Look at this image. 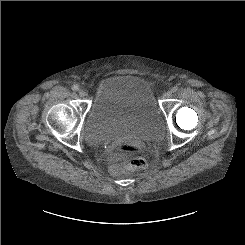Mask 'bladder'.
<instances>
[{
    "mask_svg": "<svg viewBox=\"0 0 245 245\" xmlns=\"http://www.w3.org/2000/svg\"><path fill=\"white\" fill-rule=\"evenodd\" d=\"M162 128V112L149 82L136 74H113L96 86L83 136L91 144L154 140Z\"/></svg>",
    "mask_w": 245,
    "mask_h": 245,
    "instance_id": "obj_1",
    "label": "bladder"
}]
</instances>
